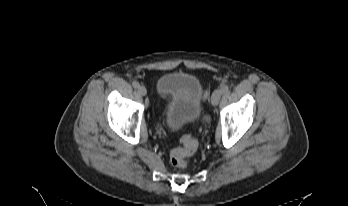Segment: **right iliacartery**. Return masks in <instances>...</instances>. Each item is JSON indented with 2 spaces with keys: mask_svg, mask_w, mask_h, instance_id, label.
<instances>
[{
  "mask_svg": "<svg viewBox=\"0 0 348 206\" xmlns=\"http://www.w3.org/2000/svg\"><path fill=\"white\" fill-rule=\"evenodd\" d=\"M132 85H133L134 88H138L139 87V82L133 81Z\"/></svg>",
  "mask_w": 348,
  "mask_h": 206,
  "instance_id": "1",
  "label": "right iliac artery"
}]
</instances>
